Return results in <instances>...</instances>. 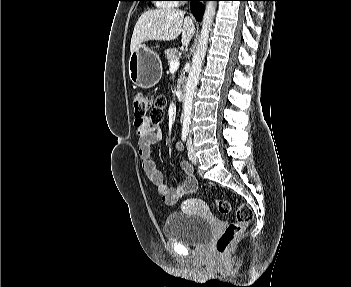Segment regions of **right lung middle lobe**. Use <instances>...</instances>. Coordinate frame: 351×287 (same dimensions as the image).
<instances>
[{
	"label": "right lung middle lobe",
	"mask_w": 351,
	"mask_h": 287,
	"mask_svg": "<svg viewBox=\"0 0 351 287\" xmlns=\"http://www.w3.org/2000/svg\"><path fill=\"white\" fill-rule=\"evenodd\" d=\"M140 1H149V0H140Z\"/></svg>",
	"instance_id": "obj_1"
}]
</instances>
